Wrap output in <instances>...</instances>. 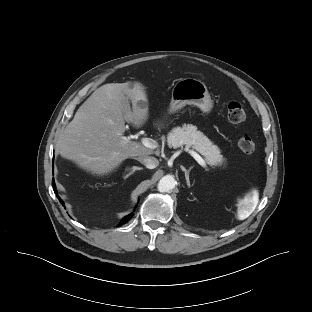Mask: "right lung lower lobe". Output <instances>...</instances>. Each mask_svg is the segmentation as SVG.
I'll use <instances>...</instances> for the list:
<instances>
[{"mask_svg":"<svg viewBox=\"0 0 312 312\" xmlns=\"http://www.w3.org/2000/svg\"><path fill=\"white\" fill-rule=\"evenodd\" d=\"M52 185H53V187H54V192L56 193L57 198H59V196L57 195V191H56V189H55V183H54V181L52 182ZM59 201H60L61 203H63V201H62L61 199H59ZM133 215H134L133 213H132V214H129V215L126 216L124 219H122V221H121V223L119 224V226H121L122 224H124V223H126L128 220H130L131 217H132Z\"/></svg>","mask_w":312,"mask_h":312,"instance_id":"1","label":"right lung lower lobe"}]
</instances>
